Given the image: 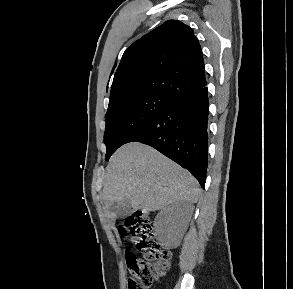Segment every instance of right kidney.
Masks as SVG:
<instances>
[{"mask_svg":"<svg viewBox=\"0 0 293 289\" xmlns=\"http://www.w3.org/2000/svg\"><path fill=\"white\" fill-rule=\"evenodd\" d=\"M191 208L176 202L163 208L156 216L154 226L168 247L177 246L187 230Z\"/></svg>","mask_w":293,"mask_h":289,"instance_id":"ca27d5eb","label":"right kidney"}]
</instances>
